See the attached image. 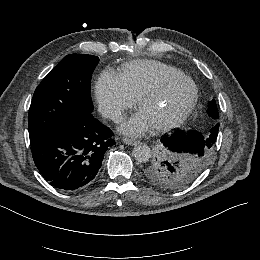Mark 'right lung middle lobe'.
I'll use <instances>...</instances> for the list:
<instances>
[{
  "label": "right lung middle lobe",
  "instance_id": "1",
  "mask_svg": "<svg viewBox=\"0 0 260 260\" xmlns=\"http://www.w3.org/2000/svg\"><path fill=\"white\" fill-rule=\"evenodd\" d=\"M99 58L70 54L36 88L28 115L30 143L92 114L90 81Z\"/></svg>",
  "mask_w": 260,
  "mask_h": 260
}]
</instances>
